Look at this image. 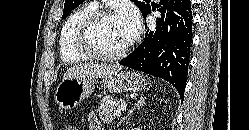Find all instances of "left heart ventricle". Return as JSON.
<instances>
[{
	"mask_svg": "<svg viewBox=\"0 0 249 130\" xmlns=\"http://www.w3.org/2000/svg\"><path fill=\"white\" fill-rule=\"evenodd\" d=\"M92 41L101 51L116 53L129 43L123 24L114 15L101 20L92 31Z\"/></svg>",
	"mask_w": 249,
	"mask_h": 130,
	"instance_id": "1",
	"label": "left heart ventricle"
}]
</instances>
